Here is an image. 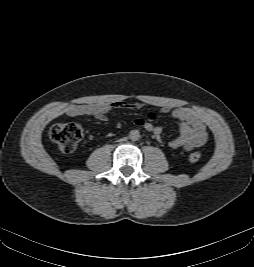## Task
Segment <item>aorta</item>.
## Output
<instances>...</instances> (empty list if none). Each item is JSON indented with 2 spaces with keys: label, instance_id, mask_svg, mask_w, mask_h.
<instances>
[{
  "label": "aorta",
  "instance_id": "aorta-1",
  "mask_svg": "<svg viewBox=\"0 0 254 267\" xmlns=\"http://www.w3.org/2000/svg\"><path fill=\"white\" fill-rule=\"evenodd\" d=\"M129 138L132 141H137L140 139V133L138 130H131L129 133Z\"/></svg>",
  "mask_w": 254,
  "mask_h": 267
}]
</instances>
